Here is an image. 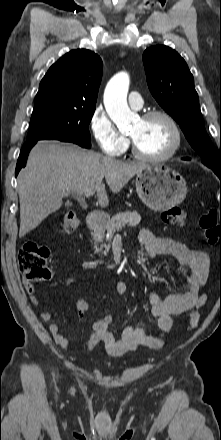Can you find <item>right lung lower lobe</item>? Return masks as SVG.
I'll return each instance as SVG.
<instances>
[{
	"label": "right lung lower lobe",
	"instance_id": "1",
	"mask_svg": "<svg viewBox=\"0 0 221 440\" xmlns=\"http://www.w3.org/2000/svg\"><path fill=\"white\" fill-rule=\"evenodd\" d=\"M40 140H41V139L27 141V142L23 145V147L21 148V152H20V155H19L18 161H17V165H16V171H15V175H16V176L18 175V173H19V171L21 170V168L25 167V165H26V161H27V157H28V154H29V151H30L31 148H32V147H33L38 141H40ZM56 140H59V139H56ZM60 141H63V142H71V141L64 140V139H62V140H60ZM71 143H73V142H71Z\"/></svg>",
	"mask_w": 221,
	"mask_h": 440
}]
</instances>
